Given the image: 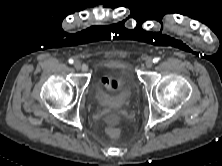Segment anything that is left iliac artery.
I'll use <instances>...</instances> for the list:
<instances>
[{
	"label": "left iliac artery",
	"mask_w": 222,
	"mask_h": 166,
	"mask_svg": "<svg viewBox=\"0 0 222 166\" xmlns=\"http://www.w3.org/2000/svg\"><path fill=\"white\" fill-rule=\"evenodd\" d=\"M159 61V58L158 57H155L154 59H153V62L154 63H157Z\"/></svg>",
	"instance_id": "left-iliac-artery-1"
}]
</instances>
